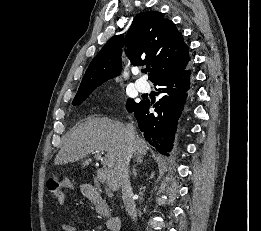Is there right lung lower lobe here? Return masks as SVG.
Wrapping results in <instances>:
<instances>
[{
    "mask_svg": "<svg viewBox=\"0 0 261 231\" xmlns=\"http://www.w3.org/2000/svg\"><path fill=\"white\" fill-rule=\"evenodd\" d=\"M193 82V72L188 66L181 72L168 75L154 82L161 99L153 105L156 113H150L151 103L142 100L129 112H134L141 132L150 145L161 154L169 156L186 97Z\"/></svg>",
    "mask_w": 261,
    "mask_h": 231,
    "instance_id": "98d812e1",
    "label": "right lung lower lobe"
}]
</instances>
